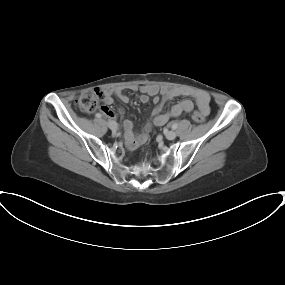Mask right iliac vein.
I'll return each instance as SVG.
<instances>
[{
    "instance_id": "right-iliac-vein-1",
    "label": "right iliac vein",
    "mask_w": 285,
    "mask_h": 285,
    "mask_svg": "<svg viewBox=\"0 0 285 285\" xmlns=\"http://www.w3.org/2000/svg\"><path fill=\"white\" fill-rule=\"evenodd\" d=\"M108 126L112 131H116L118 128V125L115 121H109Z\"/></svg>"
}]
</instances>
